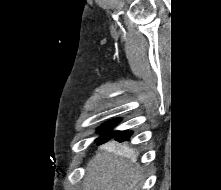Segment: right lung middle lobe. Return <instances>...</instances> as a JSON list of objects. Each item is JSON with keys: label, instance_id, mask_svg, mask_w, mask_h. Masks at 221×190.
I'll return each instance as SVG.
<instances>
[{"label": "right lung middle lobe", "instance_id": "dd1d6c3e", "mask_svg": "<svg viewBox=\"0 0 221 190\" xmlns=\"http://www.w3.org/2000/svg\"><path fill=\"white\" fill-rule=\"evenodd\" d=\"M120 121V119H114L110 122H107L106 124H104L103 126H101L99 128V132H103L104 134L99 137L97 139V141L99 142V144H103L107 141H109L110 139L114 138L117 134L120 133V131H111V132H107L111 127H113L115 124H117Z\"/></svg>", "mask_w": 221, "mask_h": 190}]
</instances>
